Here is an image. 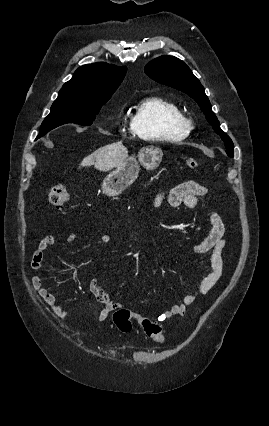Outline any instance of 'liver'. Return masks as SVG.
Wrapping results in <instances>:
<instances>
[{
    "label": "liver",
    "instance_id": "liver-1",
    "mask_svg": "<svg viewBox=\"0 0 269 426\" xmlns=\"http://www.w3.org/2000/svg\"><path fill=\"white\" fill-rule=\"evenodd\" d=\"M128 158V150L122 142L112 143L101 147L92 154L86 156L80 163V167L94 165L97 170L107 172L120 166Z\"/></svg>",
    "mask_w": 269,
    "mask_h": 426
}]
</instances>
